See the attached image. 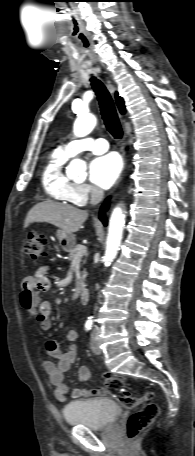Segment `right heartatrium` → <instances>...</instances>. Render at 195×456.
Segmentation results:
<instances>
[{
	"label": "right heart atrium",
	"mask_w": 195,
	"mask_h": 456,
	"mask_svg": "<svg viewBox=\"0 0 195 456\" xmlns=\"http://www.w3.org/2000/svg\"><path fill=\"white\" fill-rule=\"evenodd\" d=\"M100 192L85 183L73 184L70 190V199L76 205L83 206L90 199L96 198Z\"/></svg>",
	"instance_id": "1"
}]
</instances>
